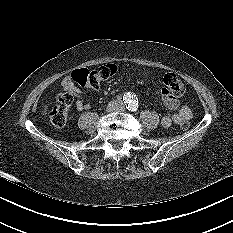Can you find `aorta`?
<instances>
[{"instance_id": "762f6f07", "label": "aorta", "mask_w": 233, "mask_h": 233, "mask_svg": "<svg viewBox=\"0 0 233 233\" xmlns=\"http://www.w3.org/2000/svg\"><path fill=\"white\" fill-rule=\"evenodd\" d=\"M132 104L135 106L136 104H135V101H132Z\"/></svg>"}]
</instances>
